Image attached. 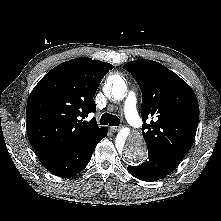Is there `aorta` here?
Listing matches in <instances>:
<instances>
[{"label":"aorta","mask_w":221,"mask_h":221,"mask_svg":"<svg viewBox=\"0 0 221 221\" xmlns=\"http://www.w3.org/2000/svg\"><path fill=\"white\" fill-rule=\"evenodd\" d=\"M104 93L110 99L121 101L127 95L126 83L119 75H112L104 86ZM116 146L132 162L142 161L147 154L145 141L139 132H121L117 137Z\"/></svg>","instance_id":"1"}]
</instances>
